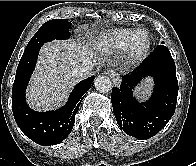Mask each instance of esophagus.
I'll return each mask as SVG.
<instances>
[{"label": "esophagus", "mask_w": 196, "mask_h": 166, "mask_svg": "<svg viewBox=\"0 0 196 166\" xmlns=\"http://www.w3.org/2000/svg\"><path fill=\"white\" fill-rule=\"evenodd\" d=\"M106 74H108L113 79L114 84H120L119 76L111 68L106 70Z\"/></svg>", "instance_id": "1"}]
</instances>
